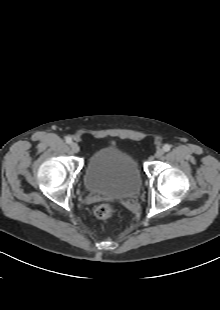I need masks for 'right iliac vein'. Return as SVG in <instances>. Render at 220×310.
Returning <instances> with one entry per match:
<instances>
[{
	"label": "right iliac vein",
	"mask_w": 220,
	"mask_h": 310,
	"mask_svg": "<svg viewBox=\"0 0 220 310\" xmlns=\"http://www.w3.org/2000/svg\"><path fill=\"white\" fill-rule=\"evenodd\" d=\"M70 147H71V149H72V151H73L74 153H78L79 150H80V147H79V145H78L76 142H72V143L70 144Z\"/></svg>",
	"instance_id": "63e3f726"
}]
</instances>
